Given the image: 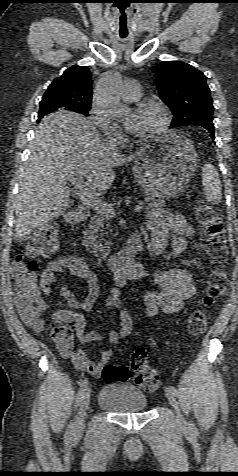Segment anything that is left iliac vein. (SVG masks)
<instances>
[{"label": "left iliac vein", "instance_id": "left-iliac-vein-1", "mask_svg": "<svg viewBox=\"0 0 238 476\" xmlns=\"http://www.w3.org/2000/svg\"><path fill=\"white\" fill-rule=\"evenodd\" d=\"M165 395L169 401V403L171 404V406L174 408L175 410V413H176V417H177V421L178 423L181 425V426H185L186 425V422H185V419L180 411V408H179V405H178V402L176 400V397L175 395L173 394V392L170 390V388H166L165 389Z\"/></svg>", "mask_w": 238, "mask_h": 476}]
</instances>
